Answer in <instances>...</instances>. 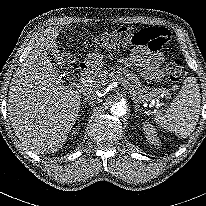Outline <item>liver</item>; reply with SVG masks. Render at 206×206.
Returning <instances> with one entry per match:
<instances>
[{"label": "liver", "instance_id": "liver-1", "mask_svg": "<svg viewBox=\"0 0 206 206\" xmlns=\"http://www.w3.org/2000/svg\"><path fill=\"white\" fill-rule=\"evenodd\" d=\"M60 28L49 26L36 39L34 49L16 70L8 93V114L15 134L26 148L36 153L56 152L77 120L81 93L64 84L47 56L52 52L59 64H66L57 50ZM100 54H89L86 65L97 73L103 66Z\"/></svg>", "mask_w": 206, "mask_h": 206}]
</instances>
